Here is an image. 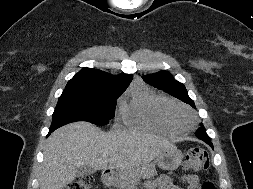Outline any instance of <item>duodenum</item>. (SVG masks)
Returning <instances> with one entry per match:
<instances>
[{
  "label": "duodenum",
  "instance_id": "obj_1",
  "mask_svg": "<svg viewBox=\"0 0 253 189\" xmlns=\"http://www.w3.org/2000/svg\"><path fill=\"white\" fill-rule=\"evenodd\" d=\"M114 181V171L106 169L102 173V182L105 186H111Z\"/></svg>",
  "mask_w": 253,
  "mask_h": 189
}]
</instances>
